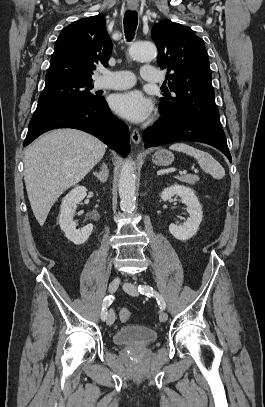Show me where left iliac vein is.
Listing matches in <instances>:
<instances>
[{"label":"left iliac vein","instance_id":"4c4485c4","mask_svg":"<svg viewBox=\"0 0 265 407\" xmlns=\"http://www.w3.org/2000/svg\"><path fill=\"white\" fill-rule=\"evenodd\" d=\"M123 288L128 294H130L132 296H137L138 295L137 288L132 283H129V282L124 283ZM159 319H160L161 322H166L167 319H168L167 313L164 312V311H161L160 315H159Z\"/></svg>","mask_w":265,"mask_h":407}]
</instances>
